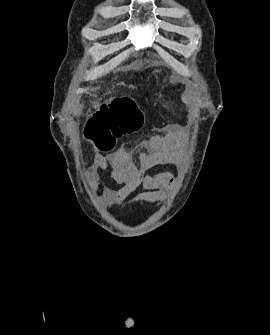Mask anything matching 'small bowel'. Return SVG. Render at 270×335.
I'll return each instance as SVG.
<instances>
[{
    "mask_svg": "<svg viewBox=\"0 0 270 335\" xmlns=\"http://www.w3.org/2000/svg\"><path fill=\"white\" fill-rule=\"evenodd\" d=\"M181 138L180 127L171 123L144 139L135 154L126 144L109 155L95 154L89 172L90 182L97 184L100 174L106 173L121 185L119 189H105L104 198L108 205L122 202L139 187L144 192L136 198L137 203L159 202L162 200L160 192L168 190L175 180L170 171L151 170L180 162Z\"/></svg>",
    "mask_w": 270,
    "mask_h": 335,
    "instance_id": "c3829d8e",
    "label": "small bowel"
}]
</instances>
